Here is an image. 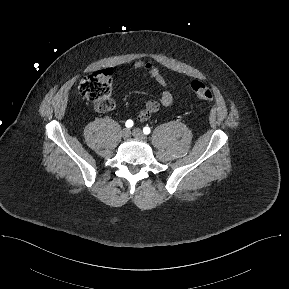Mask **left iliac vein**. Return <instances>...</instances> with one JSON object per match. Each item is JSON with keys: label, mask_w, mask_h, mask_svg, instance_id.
Masks as SVG:
<instances>
[{"label": "left iliac vein", "mask_w": 289, "mask_h": 289, "mask_svg": "<svg viewBox=\"0 0 289 289\" xmlns=\"http://www.w3.org/2000/svg\"><path fill=\"white\" fill-rule=\"evenodd\" d=\"M132 135L139 140H142V141L146 140V136L139 128L133 129Z\"/></svg>", "instance_id": "1"}]
</instances>
